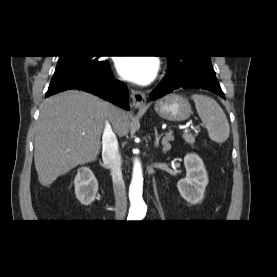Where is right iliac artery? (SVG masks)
<instances>
[{
    "label": "right iliac artery",
    "mask_w": 277,
    "mask_h": 277,
    "mask_svg": "<svg viewBox=\"0 0 277 277\" xmlns=\"http://www.w3.org/2000/svg\"><path fill=\"white\" fill-rule=\"evenodd\" d=\"M128 221H132V219H127Z\"/></svg>",
    "instance_id": "obj_1"
}]
</instances>
